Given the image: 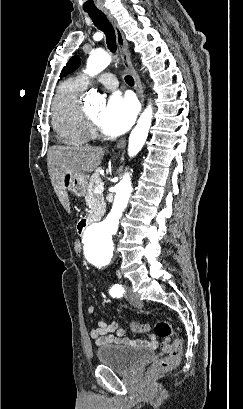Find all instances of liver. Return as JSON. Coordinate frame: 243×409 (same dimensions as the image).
Segmentation results:
<instances>
[{
    "label": "liver",
    "instance_id": "liver-1",
    "mask_svg": "<svg viewBox=\"0 0 243 409\" xmlns=\"http://www.w3.org/2000/svg\"><path fill=\"white\" fill-rule=\"evenodd\" d=\"M105 150L102 147L52 146L47 153V166L52 186L64 209L70 212V203L62 181L68 172L71 175H85L94 171L103 159Z\"/></svg>",
    "mask_w": 243,
    "mask_h": 409
}]
</instances>
